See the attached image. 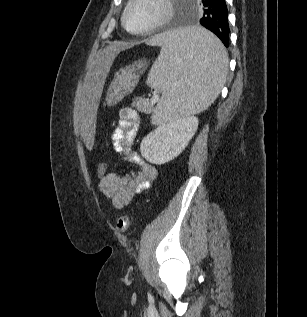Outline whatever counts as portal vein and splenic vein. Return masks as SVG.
<instances>
[{
  "label": "portal vein and splenic vein",
  "instance_id": "portal-vein-and-splenic-vein-1",
  "mask_svg": "<svg viewBox=\"0 0 307 317\" xmlns=\"http://www.w3.org/2000/svg\"><path fill=\"white\" fill-rule=\"evenodd\" d=\"M159 99H160V95L159 94H154L152 99H151V102L152 103L158 102Z\"/></svg>",
  "mask_w": 307,
  "mask_h": 317
}]
</instances>
